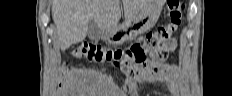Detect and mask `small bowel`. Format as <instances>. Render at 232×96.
Wrapping results in <instances>:
<instances>
[{
  "instance_id": "1",
  "label": "small bowel",
  "mask_w": 232,
  "mask_h": 96,
  "mask_svg": "<svg viewBox=\"0 0 232 96\" xmlns=\"http://www.w3.org/2000/svg\"><path fill=\"white\" fill-rule=\"evenodd\" d=\"M165 47L169 51H173L176 48V41L172 40L168 42ZM154 83L165 85L172 96H178L180 94L178 71L173 66H161L160 71L157 73L147 72L127 79V84L132 88L131 96H138V93H135L137 85Z\"/></svg>"
}]
</instances>
